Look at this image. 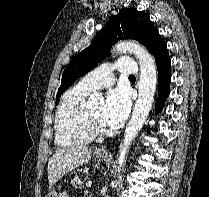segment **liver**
<instances>
[{"label":"liver","instance_id":"liver-1","mask_svg":"<svg viewBox=\"0 0 209 197\" xmlns=\"http://www.w3.org/2000/svg\"><path fill=\"white\" fill-rule=\"evenodd\" d=\"M92 150L88 146H76L56 149L48 162L49 188L70 170L86 164L91 159Z\"/></svg>","mask_w":209,"mask_h":197}]
</instances>
